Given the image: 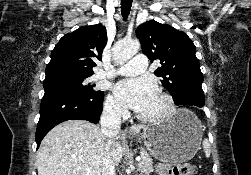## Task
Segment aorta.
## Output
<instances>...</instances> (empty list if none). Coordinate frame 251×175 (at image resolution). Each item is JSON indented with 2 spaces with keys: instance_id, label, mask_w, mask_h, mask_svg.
Wrapping results in <instances>:
<instances>
[{
  "instance_id": "obj_1",
  "label": "aorta",
  "mask_w": 251,
  "mask_h": 175,
  "mask_svg": "<svg viewBox=\"0 0 251 175\" xmlns=\"http://www.w3.org/2000/svg\"><path fill=\"white\" fill-rule=\"evenodd\" d=\"M140 50L139 40H131V42H116L112 48V60L115 66H122L133 58Z\"/></svg>"
}]
</instances>
